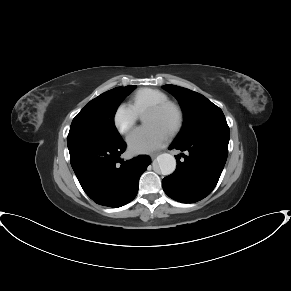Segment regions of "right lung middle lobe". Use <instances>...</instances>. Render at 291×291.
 <instances>
[{"mask_svg": "<svg viewBox=\"0 0 291 291\" xmlns=\"http://www.w3.org/2000/svg\"><path fill=\"white\" fill-rule=\"evenodd\" d=\"M135 87V85L117 87L87 103L72 121L67 137L68 142L87 140L116 144L122 141L114 125V115L121 101Z\"/></svg>", "mask_w": 291, "mask_h": 291, "instance_id": "dd1d6c3e", "label": "right lung middle lobe"}]
</instances>
